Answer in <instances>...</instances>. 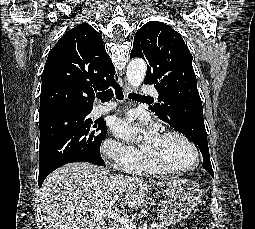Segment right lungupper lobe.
Wrapping results in <instances>:
<instances>
[{
    "instance_id": "right-lung-upper-lobe-1",
    "label": "right lung upper lobe",
    "mask_w": 255,
    "mask_h": 229,
    "mask_svg": "<svg viewBox=\"0 0 255 229\" xmlns=\"http://www.w3.org/2000/svg\"><path fill=\"white\" fill-rule=\"evenodd\" d=\"M101 35L89 24L65 33L50 51L42 76L40 117L92 111L94 92L117 87Z\"/></svg>"
}]
</instances>
